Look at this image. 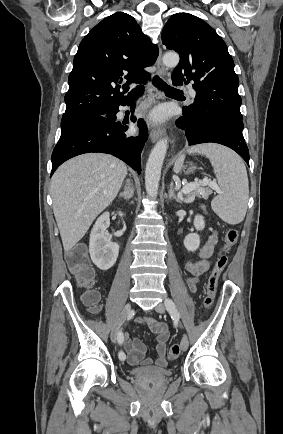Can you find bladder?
<instances>
[{
    "label": "bladder",
    "mask_w": 283,
    "mask_h": 434,
    "mask_svg": "<svg viewBox=\"0 0 283 434\" xmlns=\"http://www.w3.org/2000/svg\"><path fill=\"white\" fill-rule=\"evenodd\" d=\"M131 374L138 378L164 379L170 377L172 372L166 368L136 367Z\"/></svg>",
    "instance_id": "bladder-1"
}]
</instances>
